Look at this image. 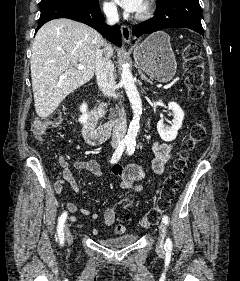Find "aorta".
I'll return each mask as SVG.
<instances>
[{"label":"aorta","mask_w":240,"mask_h":281,"mask_svg":"<svg viewBox=\"0 0 240 281\" xmlns=\"http://www.w3.org/2000/svg\"><path fill=\"white\" fill-rule=\"evenodd\" d=\"M121 83L123 84L126 94L133 110V119L129 125L127 134L125 136V141L128 143H135L137 133L139 131L140 125V115L142 113V102L138 90L135 86V81L132 73L127 64H123L121 72Z\"/></svg>","instance_id":"obj_1"}]
</instances>
